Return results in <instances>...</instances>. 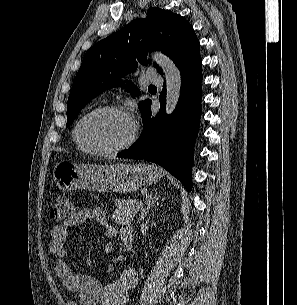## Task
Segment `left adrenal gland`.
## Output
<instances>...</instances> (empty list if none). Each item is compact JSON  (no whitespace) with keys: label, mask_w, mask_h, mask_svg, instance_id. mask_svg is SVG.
I'll return each instance as SVG.
<instances>
[{"label":"left adrenal gland","mask_w":297,"mask_h":305,"mask_svg":"<svg viewBox=\"0 0 297 305\" xmlns=\"http://www.w3.org/2000/svg\"><path fill=\"white\" fill-rule=\"evenodd\" d=\"M160 198V193H156L155 195L153 194V191L146 195L145 197V208L143 209V211L141 212V214L139 215V218H138V223L140 221H142L146 216L147 214L149 213L150 211V208L151 206L155 203V201Z\"/></svg>","instance_id":"a2214340"}]
</instances>
